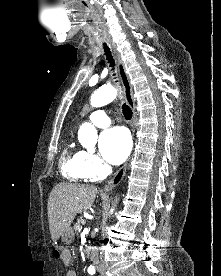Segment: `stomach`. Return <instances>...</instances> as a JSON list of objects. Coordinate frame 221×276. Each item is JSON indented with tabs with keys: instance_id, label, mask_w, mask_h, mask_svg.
Returning <instances> with one entry per match:
<instances>
[{
	"instance_id": "1",
	"label": "stomach",
	"mask_w": 221,
	"mask_h": 276,
	"mask_svg": "<svg viewBox=\"0 0 221 276\" xmlns=\"http://www.w3.org/2000/svg\"><path fill=\"white\" fill-rule=\"evenodd\" d=\"M61 240L64 244L69 245L73 242L74 240V231L70 227L67 229L62 235H61Z\"/></svg>"
}]
</instances>
